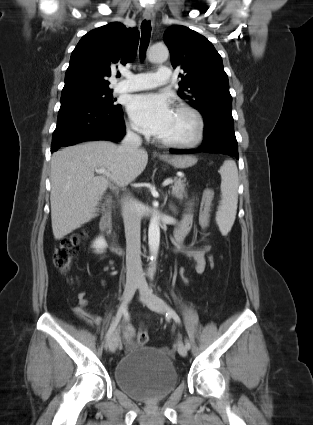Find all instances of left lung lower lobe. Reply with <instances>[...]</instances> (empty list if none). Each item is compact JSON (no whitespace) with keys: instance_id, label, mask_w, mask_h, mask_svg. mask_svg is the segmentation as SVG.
Segmentation results:
<instances>
[{"instance_id":"1","label":"left lung lower lobe","mask_w":313,"mask_h":425,"mask_svg":"<svg viewBox=\"0 0 313 425\" xmlns=\"http://www.w3.org/2000/svg\"><path fill=\"white\" fill-rule=\"evenodd\" d=\"M204 140L198 149H170L174 154H193L202 151L219 152L238 158L233 117L215 116L204 121Z\"/></svg>"}]
</instances>
